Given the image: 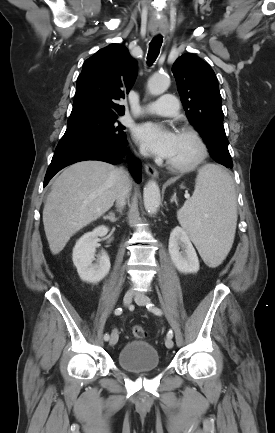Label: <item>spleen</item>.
Returning <instances> with one entry per match:
<instances>
[{"label": "spleen", "mask_w": 275, "mask_h": 433, "mask_svg": "<svg viewBox=\"0 0 275 433\" xmlns=\"http://www.w3.org/2000/svg\"><path fill=\"white\" fill-rule=\"evenodd\" d=\"M177 217L206 264L220 265L232 247L237 224L235 188L229 173L214 164L203 166L192 197Z\"/></svg>", "instance_id": "3e777b00"}]
</instances>
